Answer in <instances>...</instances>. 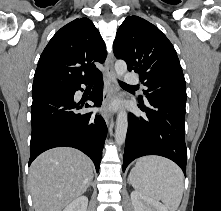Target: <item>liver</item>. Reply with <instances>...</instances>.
I'll return each instance as SVG.
<instances>
[{
	"label": "liver",
	"instance_id": "liver-1",
	"mask_svg": "<svg viewBox=\"0 0 221 211\" xmlns=\"http://www.w3.org/2000/svg\"><path fill=\"white\" fill-rule=\"evenodd\" d=\"M92 178V162L82 152L60 147L42 153L29 172L35 211H62L87 190Z\"/></svg>",
	"mask_w": 221,
	"mask_h": 211
}]
</instances>
